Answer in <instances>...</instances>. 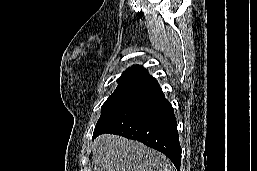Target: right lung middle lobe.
Returning a JSON list of instances; mask_svg holds the SVG:
<instances>
[{
	"label": "right lung middle lobe",
	"mask_w": 257,
	"mask_h": 171,
	"mask_svg": "<svg viewBox=\"0 0 257 171\" xmlns=\"http://www.w3.org/2000/svg\"><path fill=\"white\" fill-rule=\"evenodd\" d=\"M146 86L138 87L135 89H121L116 90L109 96L102 106L101 116L95 126V129L105 123L110 117H112L117 111L123 108L130 101L147 91Z\"/></svg>",
	"instance_id": "dd1d6c3e"
}]
</instances>
